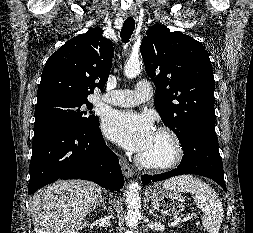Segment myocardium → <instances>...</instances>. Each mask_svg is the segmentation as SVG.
<instances>
[{
    "instance_id": "obj_1",
    "label": "myocardium",
    "mask_w": 253,
    "mask_h": 233,
    "mask_svg": "<svg viewBox=\"0 0 253 233\" xmlns=\"http://www.w3.org/2000/svg\"><path fill=\"white\" fill-rule=\"evenodd\" d=\"M156 133L164 137L170 144V153L165 158H148L144 155L137 156L140 166L154 170H168L178 165L184 156V147L178 134L167 126L159 127Z\"/></svg>"
}]
</instances>
